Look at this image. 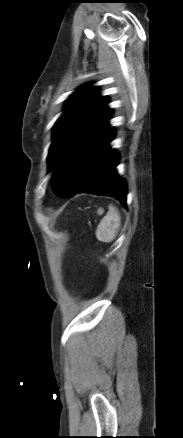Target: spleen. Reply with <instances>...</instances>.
<instances>
[{"instance_id": "1", "label": "spleen", "mask_w": 183, "mask_h": 438, "mask_svg": "<svg viewBox=\"0 0 183 438\" xmlns=\"http://www.w3.org/2000/svg\"><path fill=\"white\" fill-rule=\"evenodd\" d=\"M120 214L113 205L109 206V211L102 218L96 229V238L105 243L112 242L120 228Z\"/></svg>"}]
</instances>
